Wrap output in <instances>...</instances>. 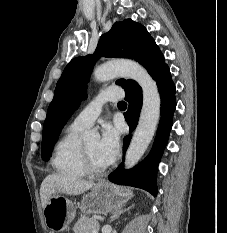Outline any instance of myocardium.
Wrapping results in <instances>:
<instances>
[{"label":"myocardium","instance_id":"obj_1","mask_svg":"<svg viewBox=\"0 0 227 233\" xmlns=\"http://www.w3.org/2000/svg\"><path fill=\"white\" fill-rule=\"evenodd\" d=\"M81 158H82L83 167H84L87 174L102 175V174L106 173L107 170L110 168V164H107L106 166H103V167L96 166L92 162L84 145H82V147H81Z\"/></svg>","mask_w":227,"mask_h":233}]
</instances>
